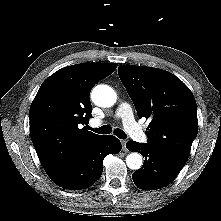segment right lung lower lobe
Masks as SVG:
<instances>
[{"instance_id":"1","label":"right lung lower lobe","mask_w":221,"mask_h":221,"mask_svg":"<svg viewBox=\"0 0 221 221\" xmlns=\"http://www.w3.org/2000/svg\"><path fill=\"white\" fill-rule=\"evenodd\" d=\"M121 148V143L115 136H101L95 143L48 175L55 184L64 189L88 188L100 178L103 159L108 154L119 153Z\"/></svg>"}]
</instances>
